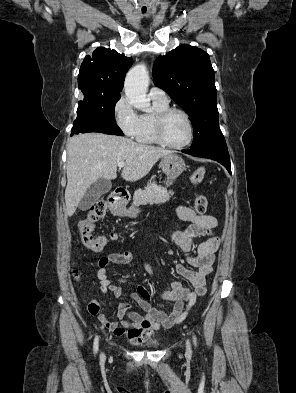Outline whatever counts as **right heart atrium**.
<instances>
[{
  "label": "right heart atrium",
  "mask_w": 296,
  "mask_h": 393,
  "mask_svg": "<svg viewBox=\"0 0 296 393\" xmlns=\"http://www.w3.org/2000/svg\"><path fill=\"white\" fill-rule=\"evenodd\" d=\"M114 116L123 133L135 138L139 128V116L125 96H121L114 105Z\"/></svg>",
  "instance_id": "obj_1"
}]
</instances>
